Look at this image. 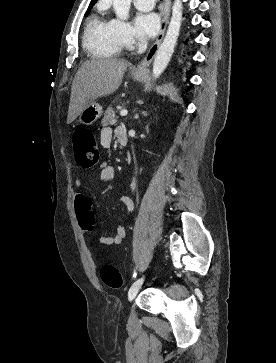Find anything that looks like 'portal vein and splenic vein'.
Returning a JSON list of instances; mask_svg holds the SVG:
<instances>
[{"instance_id": "1", "label": "portal vein and splenic vein", "mask_w": 276, "mask_h": 363, "mask_svg": "<svg viewBox=\"0 0 276 363\" xmlns=\"http://www.w3.org/2000/svg\"><path fill=\"white\" fill-rule=\"evenodd\" d=\"M128 114V111L126 110V109H122L121 111H120V115L121 116H126Z\"/></svg>"}]
</instances>
